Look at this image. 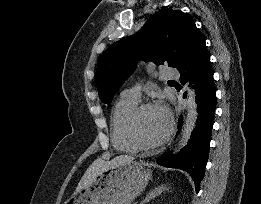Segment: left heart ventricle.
<instances>
[{"instance_id": "left-heart-ventricle-1", "label": "left heart ventricle", "mask_w": 261, "mask_h": 204, "mask_svg": "<svg viewBox=\"0 0 261 204\" xmlns=\"http://www.w3.org/2000/svg\"><path fill=\"white\" fill-rule=\"evenodd\" d=\"M168 128L166 114L159 108H149L143 112L138 122V131L146 142L162 138Z\"/></svg>"}]
</instances>
